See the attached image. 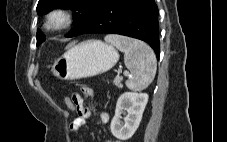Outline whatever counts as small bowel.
<instances>
[{"mask_svg": "<svg viewBox=\"0 0 227 142\" xmlns=\"http://www.w3.org/2000/svg\"><path fill=\"white\" fill-rule=\"evenodd\" d=\"M81 93H73L71 98L75 104L77 110V117L70 125V130L72 132L78 131L83 125H85L88 118L91 116V110L84 103L85 97H90L94 94V90L91 87L85 86L82 88ZM109 115L105 112L99 113V120L106 124L109 122ZM105 142H121L119 140H107Z\"/></svg>", "mask_w": 227, "mask_h": 142, "instance_id": "obj_1", "label": "small bowel"}]
</instances>
